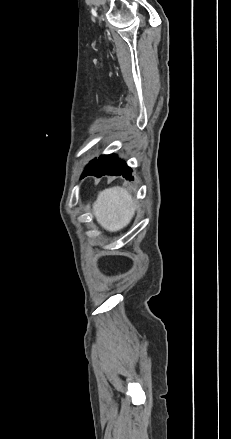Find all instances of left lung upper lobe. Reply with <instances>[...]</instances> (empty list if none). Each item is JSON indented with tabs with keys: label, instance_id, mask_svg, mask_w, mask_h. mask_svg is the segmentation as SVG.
I'll list each match as a JSON object with an SVG mask.
<instances>
[{
	"label": "left lung upper lobe",
	"instance_id": "5c2ea615",
	"mask_svg": "<svg viewBox=\"0 0 231 439\" xmlns=\"http://www.w3.org/2000/svg\"><path fill=\"white\" fill-rule=\"evenodd\" d=\"M94 161H95V159L92 160V161L86 166V169L89 168V167L93 164ZM86 169H85V170H86ZM85 170H84V171H85Z\"/></svg>",
	"mask_w": 231,
	"mask_h": 439
}]
</instances>
